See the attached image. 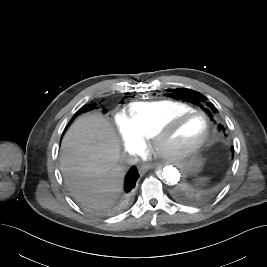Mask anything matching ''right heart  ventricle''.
<instances>
[{"label":"right heart ventricle","mask_w":267,"mask_h":267,"mask_svg":"<svg viewBox=\"0 0 267 267\" xmlns=\"http://www.w3.org/2000/svg\"><path fill=\"white\" fill-rule=\"evenodd\" d=\"M192 109L194 108L187 103L173 100L133 102L123 115L132 129L143 139H149L167 119Z\"/></svg>","instance_id":"e07e8e85"}]
</instances>
